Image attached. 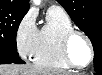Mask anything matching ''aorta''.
Listing matches in <instances>:
<instances>
[{
	"instance_id": "obj_1",
	"label": "aorta",
	"mask_w": 102,
	"mask_h": 75,
	"mask_svg": "<svg viewBox=\"0 0 102 75\" xmlns=\"http://www.w3.org/2000/svg\"><path fill=\"white\" fill-rule=\"evenodd\" d=\"M33 3H34L35 5H40L41 1H40V0H33Z\"/></svg>"
}]
</instances>
